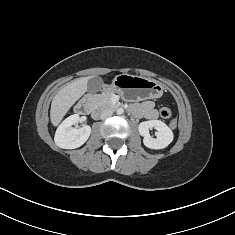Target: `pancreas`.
Returning <instances> with one entry per match:
<instances>
[{"instance_id":"cf45deb5","label":"pancreas","mask_w":235,"mask_h":235,"mask_svg":"<svg viewBox=\"0 0 235 235\" xmlns=\"http://www.w3.org/2000/svg\"><path fill=\"white\" fill-rule=\"evenodd\" d=\"M112 96H113L112 92L106 91L103 92L102 94L93 95L91 99L96 106L106 108L114 106V104L111 102Z\"/></svg>"}]
</instances>
